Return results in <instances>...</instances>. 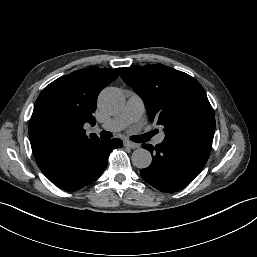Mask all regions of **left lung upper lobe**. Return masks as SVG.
Masks as SVG:
<instances>
[{"mask_svg": "<svg viewBox=\"0 0 257 257\" xmlns=\"http://www.w3.org/2000/svg\"><path fill=\"white\" fill-rule=\"evenodd\" d=\"M122 79L143 99L150 121L165 138H213L215 116L200 83L162 64L121 69Z\"/></svg>", "mask_w": 257, "mask_h": 257, "instance_id": "obj_1", "label": "left lung upper lobe"}]
</instances>
